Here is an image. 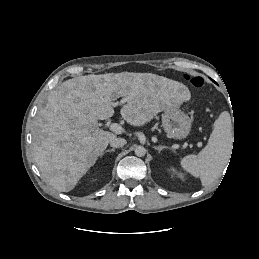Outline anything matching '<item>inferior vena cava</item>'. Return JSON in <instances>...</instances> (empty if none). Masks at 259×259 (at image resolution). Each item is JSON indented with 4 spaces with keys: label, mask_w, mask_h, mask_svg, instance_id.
<instances>
[{
    "label": "inferior vena cava",
    "mask_w": 259,
    "mask_h": 259,
    "mask_svg": "<svg viewBox=\"0 0 259 259\" xmlns=\"http://www.w3.org/2000/svg\"><path fill=\"white\" fill-rule=\"evenodd\" d=\"M126 144V140L124 138L114 137L110 139V146L113 148L123 147Z\"/></svg>",
    "instance_id": "inferior-vena-cava-1"
}]
</instances>
